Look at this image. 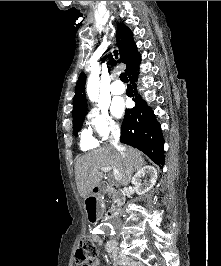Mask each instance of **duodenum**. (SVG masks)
<instances>
[{"mask_svg":"<svg viewBox=\"0 0 221 266\" xmlns=\"http://www.w3.org/2000/svg\"><path fill=\"white\" fill-rule=\"evenodd\" d=\"M87 198H85V203H87L86 219L88 223H99L102 219L103 213V201L102 195L109 193V191L104 192L102 187L96 185L94 189H89ZM115 212L113 209H109L106 212V219L111 220L114 218Z\"/></svg>","mask_w":221,"mask_h":266,"instance_id":"duodenum-1","label":"duodenum"}]
</instances>
